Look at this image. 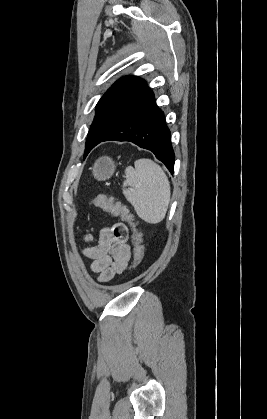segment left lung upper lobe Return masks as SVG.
<instances>
[{"mask_svg": "<svg viewBox=\"0 0 267 419\" xmlns=\"http://www.w3.org/2000/svg\"><path fill=\"white\" fill-rule=\"evenodd\" d=\"M146 87L147 83L143 79L137 76H125L109 88L96 106V114L89 130L85 152L90 145L111 130L114 112L128 107Z\"/></svg>", "mask_w": 267, "mask_h": 419, "instance_id": "obj_1", "label": "left lung upper lobe"}]
</instances>
